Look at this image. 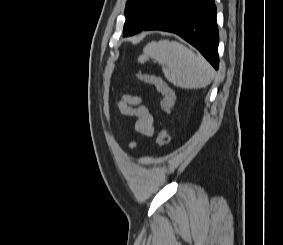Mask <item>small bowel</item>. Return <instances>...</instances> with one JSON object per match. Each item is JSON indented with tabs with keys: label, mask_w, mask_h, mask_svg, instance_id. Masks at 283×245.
I'll return each instance as SVG.
<instances>
[{
	"label": "small bowel",
	"mask_w": 283,
	"mask_h": 245,
	"mask_svg": "<svg viewBox=\"0 0 283 245\" xmlns=\"http://www.w3.org/2000/svg\"><path fill=\"white\" fill-rule=\"evenodd\" d=\"M119 111L127 116L135 117V130L139 134L152 137L155 131V118L149 108L144 104L143 98L137 95L126 94L117 103ZM137 143L130 142L129 148H135Z\"/></svg>",
	"instance_id": "c3829d8e"
}]
</instances>
